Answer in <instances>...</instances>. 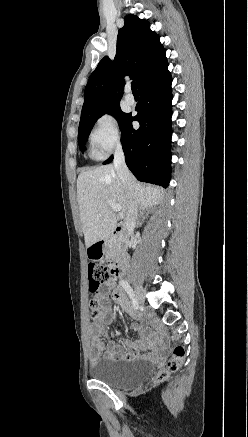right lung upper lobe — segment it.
I'll return each instance as SVG.
<instances>
[{
  "instance_id": "right-lung-upper-lobe-1",
  "label": "right lung upper lobe",
  "mask_w": 248,
  "mask_h": 437,
  "mask_svg": "<svg viewBox=\"0 0 248 437\" xmlns=\"http://www.w3.org/2000/svg\"><path fill=\"white\" fill-rule=\"evenodd\" d=\"M165 49L150 24L135 15H127L117 36L113 61L105 56L92 72L84 92L80 122L119 105L116 90L124 88V77L130 76L139 86L164 61Z\"/></svg>"
}]
</instances>
